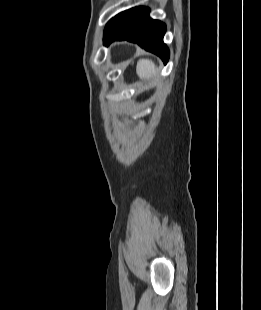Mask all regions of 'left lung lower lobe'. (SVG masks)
I'll return each instance as SVG.
<instances>
[{
    "label": "left lung lower lobe",
    "instance_id": "1",
    "mask_svg": "<svg viewBox=\"0 0 261 310\" xmlns=\"http://www.w3.org/2000/svg\"><path fill=\"white\" fill-rule=\"evenodd\" d=\"M164 23L149 17V8L135 7L112 18L104 30V44L115 40H128L158 55L164 63L169 60V50L163 43Z\"/></svg>",
    "mask_w": 261,
    "mask_h": 310
}]
</instances>
